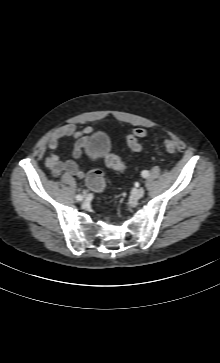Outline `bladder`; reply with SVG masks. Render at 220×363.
I'll return each instance as SVG.
<instances>
[{
	"mask_svg": "<svg viewBox=\"0 0 220 363\" xmlns=\"http://www.w3.org/2000/svg\"><path fill=\"white\" fill-rule=\"evenodd\" d=\"M109 146L110 142L106 134L96 132L88 138L85 149L92 156L101 157L107 153Z\"/></svg>",
	"mask_w": 220,
	"mask_h": 363,
	"instance_id": "obj_1",
	"label": "bladder"
}]
</instances>
